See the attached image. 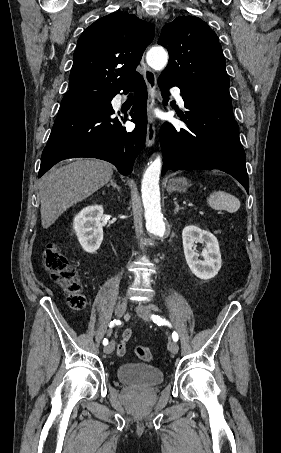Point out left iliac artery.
Listing matches in <instances>:
<instances>
[{
    "mask_svg": "<svg viewBox=\"0 0 281 453\" xmlns=\"http://www.w3.org/2000/svg\"><path fill=\"white\" fill-rule=\"evenodd\" d=\"M151 319L153 320L154 323H156L158 325L171 326V324L168 321H166L165 319L160 318V316H158V315H152ZM172 338H173V340L175 342L178 341V334L175 331L172 333Z\"/></svg>",
    "mask_w": 281,
    "mask_h": 453,
    "instance_id": "1",
    "label": "left iliac artery"
}]
</instances>
